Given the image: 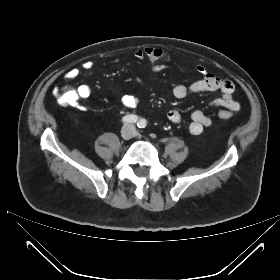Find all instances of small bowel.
Listing matches in <instances>:
<instances>
[{
    "label": "small bowel",
    "mask_w": 280,
    "mask_h": 280,
    "mask_svg": "<svg viewBox=\"0 0 280 280\" xmlns=\"http://www.w3.org/2000/svg\"><path fill=\"white\" fill-rule=\"evenodd\" d=\"M134 56L139 60H148L151 64V70L153 73H158L168 68L163 63L165 55L162 50L155 47H147L144 49H136ZM94 66L92 61H86L82 64L84 71H90ZM197 71L203 76L202 79L195 81L191 84H178L173 88V95L176 98H184L190 93H204L220 91L222 95L210 102V107H221L223 110L219 112L228 113L230 117L233 112H237L240 109V104L233 99L232 94L235 86L230 79H223L210 73L207 68L200 64L197 66ZM80 70L78 68L70 69L66 76L70 80L78 78ZM76 93L78 100H85L91 95V88L87 84L80 85ZM120 103L125 108H134L138 105L139 100L133 95H123L120 98ZM73 105H77V102ZM167 118L173 123H179L182 119L181 114L177 110H170L167 112ZM212 124V119L207 116L202 110H195L191 114V123L189 130L193 135H199L206 127Z\"/></svg>",
    "instance_id": "obj_1"
}]
</instances>
